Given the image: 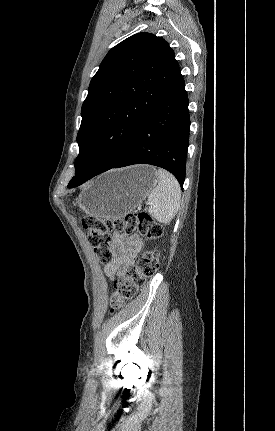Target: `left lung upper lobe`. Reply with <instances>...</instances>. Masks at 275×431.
Segmentation results:
<instances>
[{
  "label": "left lung upper lobe",
  "instance_id": "left-lung-upper-lobe-1",
  "mask_svg": "<svg viewBox=\"0 0 275 431\" xmlns=\"http://www.w3.org/2000/svg\"><path fill=\"white\" fill-rule=\"evenodd\" d=\"M178 69L169 44L151 33L132 35L107 53L82 105L75 175L93 177L120 158Z\"/></svg>",
  "mask_w": 275,
  "mask_h": 431
}]
</instances>
